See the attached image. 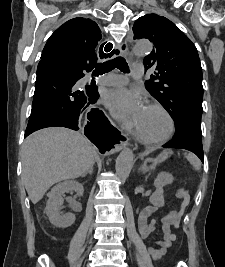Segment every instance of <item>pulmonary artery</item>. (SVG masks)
<instances>
[{
  "label": "pulmonary artery",
  "instance_id": "pulmonary-artery-1",
  "mask_svg": "<svg viewBox=\"0 0 225 267\" xmlns=\"http://www.w3.org/2000/svg\"><path fill=\"white\" fill-rule=\"evenodd\" d=\"M144 75L143 64H135L133 66V71L131 77L135 80L140 79ZM95 81L101 85L105 86H120L127 83L128 79L125 76L117 74H107L103 76H97L94 78Z\"/></svg>",
  "mask_w": 225,
  "mask_h": 267
}]
</instances>
